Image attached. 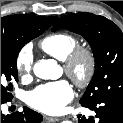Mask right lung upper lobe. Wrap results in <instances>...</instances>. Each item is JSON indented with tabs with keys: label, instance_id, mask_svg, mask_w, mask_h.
<instances>
[{
	"label": "right lung upper lobe",
	"instance_id": "1",
	"mask_svg": "<svg viewBox=\"0 0 123 123\" xmlns=\"http://www.w3.org/2000/svg\"><path fill=\"white\" fill-rule=\"evenodd\" d=\"M58 17H39L33 15H11L1 18V37H9L22 28L48 29Z\"/></svg>",
	"mask_w": 123,
	"mask_h": 123
}]
</instances>
